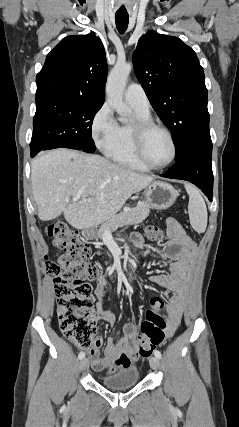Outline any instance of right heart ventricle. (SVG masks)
Segmentation results:
<instances>
[{
  "instance_id": "1",
  "label": "right heart ventricle",
  "mask_w": 239,
  "mask_h": 427,
  "mask_svg": "<svg viewBox=\"0 0 239 427\" xmlns=\"http://www.w3.org/2000/svg\"><path fill=\"white\" fill-rule=\"evenodd\" d=\"M136 118L151 119L150 113L141 111L132 107ZM107 157L113 162L128 167L137 171H147L145 167L136 157L132 142L131 125H118V134L113 145L105 152Z\"/></svg>"
}]
</instances>
